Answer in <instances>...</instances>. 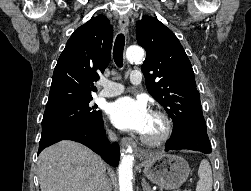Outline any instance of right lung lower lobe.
<instances>
[{
    "mask_svg": "<svg viewBox=\"0 0 251 191\" xmlns=\"http://www.w3.org/2000/svg\"><path fill=\"white\" fill-rule=\"evenodd\" d=\"M61 140L80 142L100 154L108 164L115 167L118 166L120 157L119 146L117 143L114 145L109 144L103 129V120L96 125L83 122H68L43 131L38 154L44 148Z\"/></svg>",
    "mask_w": 251,
    "mask_h": 191,
    "instance_id": "98d812e1",
    "label": "right lung lower lobe"
}]
</instances>
